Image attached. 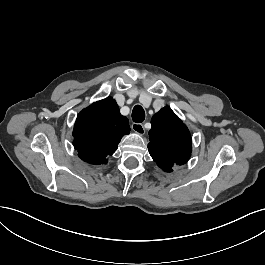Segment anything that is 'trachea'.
Listing matches in <instances>:
<instances>
[{
  "label": "trachea",
  "mask_w": 265,
  "mask_h": 265,
  "mask_svg": "<svg viewBox=\"0 0 265 265\" xmlns=\"http://www.w3.org/2000/svg\"><path fill=\"white\" fill-rule=\"evenodd\" d=\"M145 119V111L140 105H136L132 111V120L136 123H141Z\"/></svg>",
  "instance_id": "3493384b"
}]
</instances>
